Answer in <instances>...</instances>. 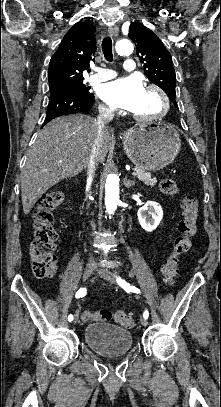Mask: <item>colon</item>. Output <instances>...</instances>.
Segmentation results:
<instances>
[{
    "mask_svg": "<svg viewBox=\"0 0 221 407\" xmlns=\"http://www.w3.org/2000/svg\"><path fill=\"white\" fill-rule=\"evenodd\" d=\"M160 189L167 195H176L179 192L176 182L170 178L160 182ZM63 199V193L59 191L44 194L39 198L33 212V235L29 243V254L34 275L40 278L52 277L54 274L52 252L56 247L57 232L53 227L52 211L62 204ZM180 206L182 215L178 222V235L175 238L174 248L162 267L165 282L169 287L174 286L180 257L191 250L199 211L197 198L189 194L182 196ZM83 318L85 321L113 319L125 328H132L135 325L133 317L123 310L115 313L109 310L85 311Z\"/></svg>",
    "mask_w": 221,
    "mask_h": 407,
    "instance_id": "1",
    "label": "colon"
}]
</instances>
